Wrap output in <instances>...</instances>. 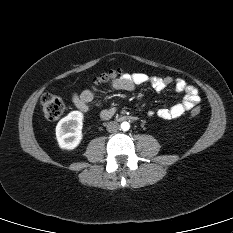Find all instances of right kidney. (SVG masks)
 Here are the masks:
<instances>
[{
	"mask_svg": "<svg viewBox=\"0 0 233 233\" xmlns=\"http://www.w3.org/2000/svg\"><path fill=\"white\" fill-rule=\"evenodd\" d=\"M83 113L72 111L56 126V138L61 149L73 150L82 140Z\"/></svg>",
	"mask_w": 233,
	"mask_h": 233,
	"instance_id": "1",
	"label": "right kidney"
}]
</instances>
